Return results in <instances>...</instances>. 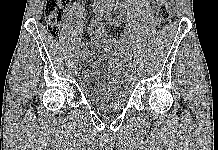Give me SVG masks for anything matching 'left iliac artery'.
Segmentation results:
<instances>
[{
  "label": "left iliac artery",
  "instance_id": "obj_1",
  "mask_svg": "<svg viewBox=\"0 0 218 150\" xmlns=\"http://www.w3.org/2000/svg\"><path fill=\"white\" fill-rule=\"evenodd\" d=\"M113 1L114 0H109V2L107 3L106 5V13H107V16L108 18H115L116 20L119 18L117 16L116 13H111V10H112V7H113ZM115 23H117L116 21H114ZM129 71H136V66L135 64H130V66L128 67Z\"/></svg>",
  "mask_w": 218,
  "mask_h": 150
}]
</instances>
